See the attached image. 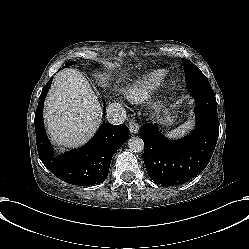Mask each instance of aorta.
Listing matches in <instances>:
<instances>
[{
  "label": "aorta",
  "instance_id": "obj_1",
  "mask_svg": "<svg viewBox=\"0 0 249 249\" xmlns=\"http://www.w3.org/2000/svg\"><path fill=\"white\" fill-rule=\"evenodd\" d=\"M128 147L132 152L140 153L144 151V141L139 137H131L128 140Z\"/></svg>",
  "mask_w": 249,
  "mask_h": 249
}]
</instances>
